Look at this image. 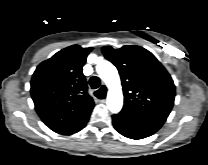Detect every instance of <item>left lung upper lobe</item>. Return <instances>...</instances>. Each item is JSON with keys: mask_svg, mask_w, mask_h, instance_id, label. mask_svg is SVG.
Here are the masks:
<instances>
[{"mask_svg": "<svg viewBox=\"0 0 208 165\" xmlns=\"http://www.w3.org/2000/svg\"><path fill=\"white\" fill-rule=\"evenodd\" d=\"M118 69L124 93L121 112L165 122L175 99V85L167 70L148 50L127 45L102 48Z\"/></svg>", "mask_w": 208, "mask_h": 165, "instance_id": "5c2ea615", "label": "left lung upper lobe"}]
</instances>
